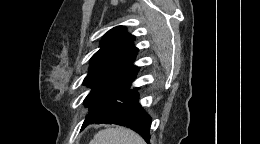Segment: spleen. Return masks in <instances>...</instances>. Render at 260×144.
<instances>
[{
	"mask_svg": "<svg viewBox=\"0 0 260 144\" xmlns=\"http://www.w3.org/2000/svg\"><path fill=\"white\" fill-rule=\"evenodd\" d=\"M90 144H145L135 132L124 127L107 128L94 135Z\"/></svg>",
	"mask_w": 260,
	"mask_h": 144,
	"instance_id": "3e777b00",
	"label": "spleen"
}]
</instances>
